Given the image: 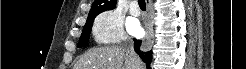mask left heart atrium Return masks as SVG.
Returning <instances> with one entry per match:
<instances>
[{
    "label": "left heart atrium",
    "instance_id": "1",
    "mask_svg": "<svg viewBox=\"0 0 246 69\" xmlns=\"http://www.w3.org/2000/svg\"><path fill=\"white\" fill-rule=\"evenodd\" d=\"M128 28L133 34H139L141 32V27L137 22H130Z\"/></svg>",
    "mask_w": 246,
    "mask_h": 69
}]
</instances>
